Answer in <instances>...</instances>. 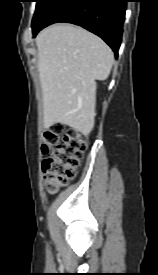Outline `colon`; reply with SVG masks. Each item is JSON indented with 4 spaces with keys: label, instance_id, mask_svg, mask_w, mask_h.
I'll return each instance as SVG.
<instances>
[{
    "label": "colon",
    "instance_id": "obj_1",
    "mask_svg": "<svg viewBox=\"0 0 158 275\" xmlns=\"http://www.w3.org/2000/svg\"><path fill=\"white\" fill-rule=\"evenodd\" d=\"M85 148L86 137L74 128L57 123L45 130L43 178L50 194L74 178Z\"/></svg>",
    "mask_w": 158,
    "mask_h": 275
}]
</instances>
